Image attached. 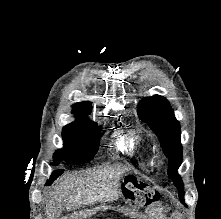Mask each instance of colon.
Returning a JSON list of instances; mask_svg holds the SVG:
<instances>
[{
    "mask_svg": "<svg viewBox=\"0 0 221 219\" xmlns=\"http://www.w3.org/2000/svg\"><path fill=\"white\" fill-rule=\"evenodd\" d=\"M124 190L129 191L140 205L148 206L154 201V197L150 196L152 189L137 181H127Z\"/></svg>",
    "mask_w": 221,
    "mask_h": 219,
    "instance_id": "obj_1",
    "label": "colon"
}]
</instances>
